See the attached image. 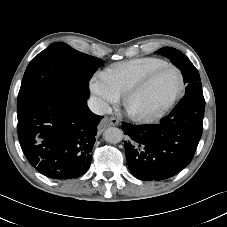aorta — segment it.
Masks as SVG:
<instances>
[{
	"label": "aorta",
	"mask_w": 227,
	"mask_h": 227,
	"mask_svg": "<svg viewBox=\"0 0 227 227\" xmlns=\"http://www.w3.org/2000/svg\"><path fill=\"white\" fill-rule=\"evenodd\" d=\"M104 140L108 143L117 144L123 139V132L117 127H109L104 131Z\"/></svg>",
	"instance_id": "aorta-1"
}]
</instances>
